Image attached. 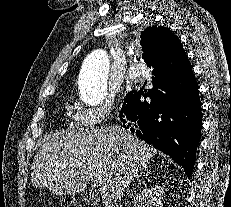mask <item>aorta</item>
<instances>
[{"label": "aorta", "mask_w": 231, "mask_h": 207, "mask_svg": "<svg viewBox=\"0 0 231 207\" xmlns=\"http://www.w3.org/2000/svg\"><path fill=\"white\" fill-rule=\"evenodd\" d=\"M109 57L106 51H92L84 60L79 75L81 100L91 106L99 105L107 95Z\"/></svg>", "instance_id": "obj_1"}]
</instances>
